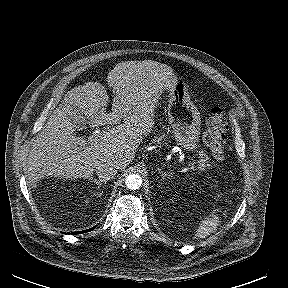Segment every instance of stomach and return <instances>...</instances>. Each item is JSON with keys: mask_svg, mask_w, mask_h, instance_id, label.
<instances>
[{"mask_svg": "<svg viewBox=\"0 0 288 288\" xmlns=\"http://www.w3.org/2000/svg\"><path fill=\"white\" fill-rule=\"evenodd\" d=\"M168 93V118L175 141L184 150L193 152L198 147L201 116L190 100L187 85L181 77L174 79L165 89Z\"/></svg>", "mask_w": 288, "mask_h": 288, "instance_id": "1", "label": "stomach"}]
</instances>
